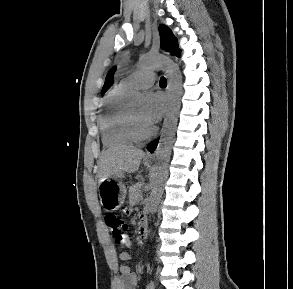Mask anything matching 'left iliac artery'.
I'll use <instances>...</instances> for the list:
<instances>
[{"label":"left iliac artery","mask_w":293,"mask_h":289,"mask_svg":"<svg viewBox=\"0 0 293 289\" xmlns=\"http://www.w3.org/2000/svg\"><path fill=\"white\" fill-rule=\"evenodd\" d=\"M147 289H155V284L153 281H150V283L147 286Z\"/></svg>","instance_id":"obj_1"}]
</instances>
